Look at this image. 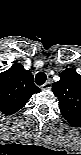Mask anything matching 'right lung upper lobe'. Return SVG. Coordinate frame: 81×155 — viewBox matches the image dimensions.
Here are the masks:
<instances>
[{"instance_id": "obj_1", "label": "right lung upper lobe", "mask_w": 81, "mask_h": 155, "mask_svg": "<svg viewBox=\"0 0 81 155\" xmlns=\"http://www.w3.org/2000/svg\"><path fill=\"white\" fill-rule=\"evenodd\" d=\"M39 92L32 73L20 63L0 73V111L5 115L20 110L33 94Z\"/></svg>"}]
</instances>
